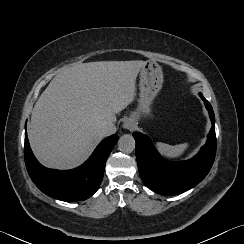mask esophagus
<instances>
[{
    "mask_svg": "<svg viewBox=\"0 0 244 244\" xmlns=\"http://www.w3.org/2000/svg\"><path fill=\"white\" fill-rule=\"evenodd\" d=\"M136 127V123L132 118H128L123 123V128L127 130H132Z\"/></svg>",
    "mask_w": 244,
    "mask_h": 244,
    "instance_id": "obj_1",
    "label": "esophagus"
}]
</instances>
